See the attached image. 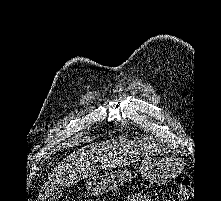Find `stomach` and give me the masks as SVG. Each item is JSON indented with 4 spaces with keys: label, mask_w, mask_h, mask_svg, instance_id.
<instances>
[{
    "label": "stomach",
    "mask_w": 221,
    "mask_h": 201,
    "mask_svg": "<svg viewBox=\"0 0 221 201\" xmlns=\"http://www.w3.org/2000/svg\"><path fill=\"white\" fill-rule=\"evenodd\" d=\"M183 166L184 161L179 153L159 149L144 156L140 172L147 181L163 184L176 178ZM131 178L132 174L127 169L96 175L86 182V190L92 195L102 194L129 182Z\"/></svg>",
    "instance_id": "1"
}]
</instances>
